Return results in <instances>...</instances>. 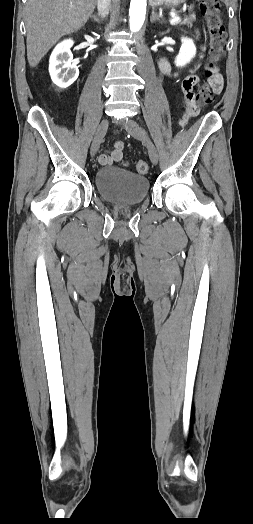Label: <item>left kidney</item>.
<instances>
[{
  "label": "left kidney",
  "mask_w": 253,
  "mask_h": 524,
  "mask_svg": "<svg viewBox=\"0 0 253 524\" xmlns=\"http://www.w3.org/2000/svg\"><path fill=\"white\" fill-rule=\"evenodd\" d=\"M181 41L182 45L175 59L176 66L180 67L189 63L196 54V47L192 39L182 37Z\"/></svg>",
  "instance_id": "left-kidney-1"
}]
</instances>
